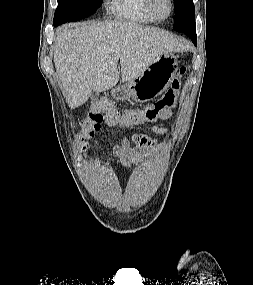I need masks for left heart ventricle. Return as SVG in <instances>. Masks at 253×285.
<instances>
[{
    "label": "left heart ventricle",
    "mask_w": 253,
    "mask_h": 285,
    "mask_svg": "<svg viewBox=\"0 0 253 285\" xmlns=\"http://www.w3.org/2000/svg\"><path fill=\"white\" fill-rule=\"evenodd\" d=\"M152 8L156 16L165 17L169 13L168 0H153Z\"/></svg>",
    "instance_id": "obj_1"
}]
</instances>
